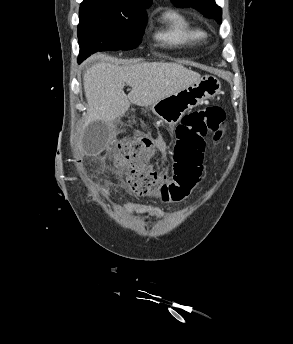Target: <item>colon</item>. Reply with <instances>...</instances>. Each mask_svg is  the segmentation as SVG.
Here are the masks:
<instances>
[{
    "mask_svg": "<svg viewBox=\"0 0 293 344\" xmlns=\"http://www.w3.org/2000/svg\"><path fill=\"white\" fill-rule=\"evenodd\" d=\"M225 112L218 105L193 110L186 114L175 131L172 147L174 174L162 179L152 172L154 142L140 137L120 143L111 152L115 169L125 173V184L138 197H156L177 202L187 197L199 181L205 138L219 142L224 135Z\"/></svg>",
    "mask_w": 293,
    "mask_h": 344,
    "instance_id": "1",
    "label": "colon"
}]
</instances>
